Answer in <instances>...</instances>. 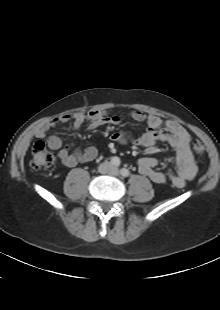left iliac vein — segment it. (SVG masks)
<instances>
[{
	"label": "left iliac vein",
	"instance_id": "left-iliac-vein-1",
	"mask_svg": "<svg viewBox=\"0 0 220 310\" xmlns=\"http://www.w3.org/2000/svg\"><path fill=\"white\" fill-rule=\"evenodd\" d=\"M111 174L114 175V176H117L119 174V171L117 168H111Z\"/></svg>",
	"mask_w": 220,
	"mask_h": 310
}]
</instances>
